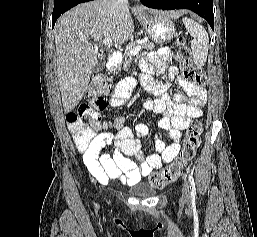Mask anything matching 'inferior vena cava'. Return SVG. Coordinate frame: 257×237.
<instances>
[{
  "instance_id": "inferior-vena-cava-1",
  "label": "inferior vena cava",
  "mask_w": 257,
  "mask_h": 237,
  "mask_svg": "<svg viewBox=\"0 0 257 237\" xmlns=\"http://www.w3.org/2000/svg\"><path fill=\"white\" fill-rule=\"evenodd\" d=\"M116 3L122 7H128V0H116Z\"/></svg>"
}]
</instances>
